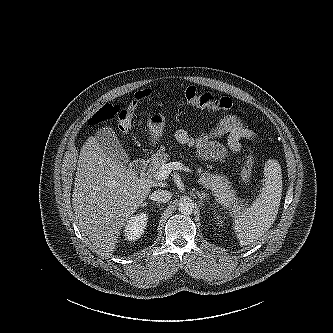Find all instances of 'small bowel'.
Returning <instances> with one entry per match:
<instances>
[{
  "label": "small bowel",
  "mask_w": 333,
  "mask_h": 333,
  "mask_svg": "<svg viewBox=\"0 0 333 333\" xmlns=\"http://www.w3.org/2000/svg\"><path fill=\"white\" fill-rule=\"evenodd\" d=\"M227 136L230 150L237 154L241 151L243 139H254L255 132L237 115L223 117L214 127L197 135L190 134L185 129H177L174 138L177 142L195 147L201 160L225 161L229 158V151L219 144L216 139Z\"/></svg>",
  "instance_id": "c3829d8e"
}]
</instances>
